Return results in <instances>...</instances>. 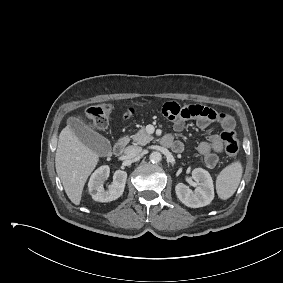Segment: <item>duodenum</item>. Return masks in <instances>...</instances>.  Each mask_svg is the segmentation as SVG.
Wrapping results in <instances>:
<instances>
[{"label":"duodenum","mask_w":283,"mask_h":283,"mask_svg":"<svg viewBox=\"0 0 283 283\" xmlns=\"http://www.w3.org/2000/svg\"><path fill=\"white\" fill-rule=\"evenodd\" d=\"M163 145L167 144V140L165 138L162 139ZM127 146V138H120L114 145L113 151L116 156H121L124 153V150Z\"/></svg>","instance_id":"obj_1"}]
</instances>
